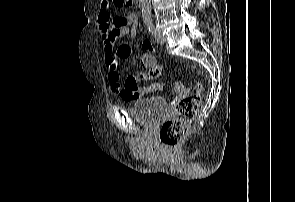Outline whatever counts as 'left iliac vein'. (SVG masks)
I'll return each mask as SVG.
<instances>
[{
	"mask_svg": "<svg viewBox=\"0 0 295 202\" xmlns=\"http://www.w3.org/2000/svg\"><path fill=\"white\" fill-rule=\"evenodd\" d=\"M154 36L159 44H164L166 42V37L156 28H154Z\"/></svg>",
	"mask_w": 295,
	"mask_h": 202,
	"instance_id": "obj_1",
	"label": "left iliac vein"
}]
</instances>
